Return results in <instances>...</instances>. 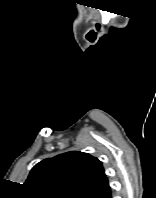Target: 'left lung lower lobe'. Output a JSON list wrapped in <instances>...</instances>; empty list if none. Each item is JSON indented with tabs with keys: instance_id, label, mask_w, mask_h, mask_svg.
I'll use <instances>...</instances> for the list:
<instances>
[{
	"instance_id": "0a47b994",
	"label": "left lung lower lobe",
	"mask_w": 156,
	"mask_h": 198,
	"mask_svg": "<svg viewBox=\"0 0 156 198\" xmlns=\"http://www.w3.org/2000/svg\"><path fill=\"white\" fill-rule=\"evenodd\" d=\"M95 198H112L110 186H108L104 191L95 196Z\"/></svg>"
}]
</instances>
